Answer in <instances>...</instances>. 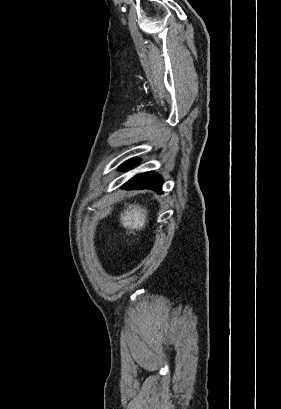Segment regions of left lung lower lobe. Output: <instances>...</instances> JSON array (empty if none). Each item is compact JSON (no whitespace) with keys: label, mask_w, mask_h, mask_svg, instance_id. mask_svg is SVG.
<instances>
[{"label":"left lung lower lobe","mask_w":281,"mask_h":409,"mask_svg":"<svg viewBox=\"0 0 281 409\" xmlns=\"http://www.w3.org/2000/svg\"><path fill=\"white\" fill-rule=\"evenodd\" d=\"M139 163L137 159H130L121 165L122 170H127ZM163 184L162 178L154 172H145L138 174L130 179L123 189H152L157 193H162L161 186Z\"/></svg>","instance_id":"0a47b994"}]
</instances>
